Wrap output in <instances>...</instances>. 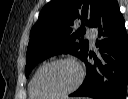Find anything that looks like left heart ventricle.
Returning a JSON list of instances; mask_svg holds the SVG:
<instances>
[{
    "label": "left heart ventricle",
    "mask_w": 128,
    "mask_h": 99,
    "mask_svg": "<svg viewBox=\"0 0 128 99\" xmlns=\"http://www.w3.org/2000/svg\"><path fill=\"white\" fill-rule=\"evenodd\" d=\"M78 79V71L70 63H58L43 69L36 80V90L40 94L52 95L72 87Z\"/></svg>",
    "instance_id": "left-heart-ventricle-1"
}]
</instances>
